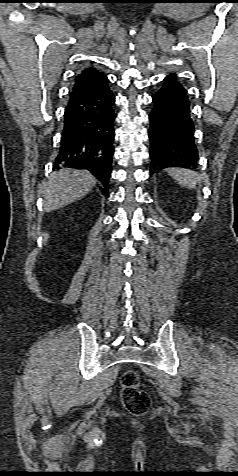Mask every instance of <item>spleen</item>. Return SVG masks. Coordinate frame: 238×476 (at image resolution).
<instances>
[{
    "label": "spleen",
    "mask_w": 238,
    "mask_h": 476,
    "mask_svg": "<svg viewBox=\"0 0 238 476\" xmlns=\"http://www.w3.org/2000/svg\"><path fill=\"white\" fill-rule=\"evenodd\" d=\"M167 173L181 186L188 189L196 188V185L200 180L198 173L185 168H168Z\"/></svg>",
    "instance_id": "1"
}]
</instances>
